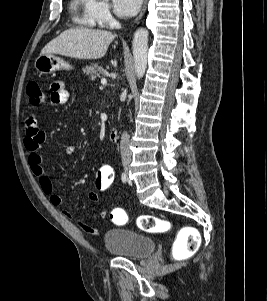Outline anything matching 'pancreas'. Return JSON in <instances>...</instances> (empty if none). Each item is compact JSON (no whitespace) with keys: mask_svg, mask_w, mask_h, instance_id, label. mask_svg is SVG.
<instances>
[{"mask_svg":"<svg viewBox=\"0 0 267 301\" xmlns=\"http://www.w3.org/2000/svg\"><path fill=\"white\" fill-rule=\"evenodd\" d=\"M83 71L89 77L90 81H94L96 77L100 75L101 67H99L96 63H92L91 65L86 66Z\"/></svg>","mask_w":267,"mask_h":301,"instance_id":"obj_1","label":"pancreas"}]
</instances>
